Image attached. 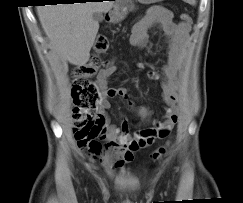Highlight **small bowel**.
<instances>
[{"label":"small bowel","instance_id":"obj_1","mask_svg":"<svg viewBox=\"0 0 243 203\" xmlns=\"http://www.w3.org/2000/svg\"><path fill=\"white\" fill-rule=\"evenodd\" d=\"M154 25L160 26L168 37L166 62L162 67V99L166 104V113L163 120L156 122L153 127L138 131L132 136L128 129L127 118L123 117L119 125L110 123L107 111L111 104L109 98L120 97L142 118L150 116L146 106H136L125 87L114 88L108 86V79L116 72L115 60L112 58L108 66L102 69L96 78V86L100 92L97 115L90 135L87 149L94 158L106 160L114 158L115 167L133 161L136 152L150 146L156 139L166 137L178 121L176 107L177 76L188 44L190 25L185 22H175L172 13L162 6L151 7L133 26L130 43L132 46H144L147 41V31ZM150 79H157L155 72H149Z\"/></svg>","mask_w":243,"mask_h":203}]
</instances>
